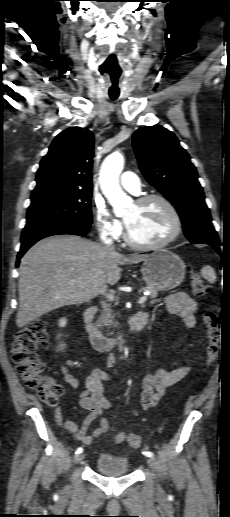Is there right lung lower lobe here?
<instances>
[{
  "label": "right lung lower lobe",
  "instance_id": "98d812e1",
  "mask_svg": "<svg viewBox=\"0 0 230 517\" xmlns=\"http://www.w3.org/2000/svg\"><path fill=\"white\" fill-rule=\"evenodd\" d=\"M89 228L90 225L65 220H45L26 224L21 235V248L18 252L16 266L19 265L20 258L25 252L40 239L59 234L85 236Z\"/></svg>",
  "mask_w": 230,
  "mask_h": 517
}]
</instances>
